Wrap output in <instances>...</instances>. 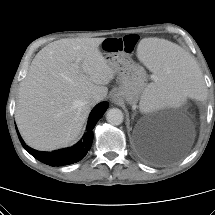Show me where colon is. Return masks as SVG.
<instances>
[{
    "label": "colon",
    "instance_id": "5ec220e1",
    "mask_svg": "<svg viewBox=\"0 0 215 215\" xmlns=\"http://www.w3.org/2000/svg\"><path fill=\"white\" fill-rule=\"evenodd\" d=\"M138 40V36L134 34L126 35L121 38H106L102 42V47L109 53H114L116 51L132 53Z\"/></svg>",
    "mask_w": 215,
    "mask_h": 215
}]
</instances>
